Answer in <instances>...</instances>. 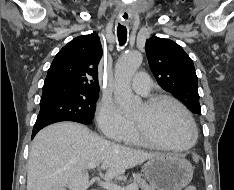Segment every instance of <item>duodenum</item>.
<instances>
[{
  "label": "duodenum",
  "instance_id": "410a0bca",
  "mask_svg": "<svg viewBox=\"0 0 234 190\" xmlns=\"http://www.w3.org/2000/svg\"><path fill=\"white\" fill-rule=\"evenodd\" d=\"M89 190H97V189H89Z\"/></svg>",
  "mask_w": 234,
  "mask_h": 190
}]
</instances>
